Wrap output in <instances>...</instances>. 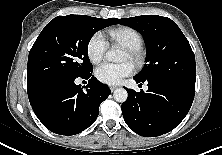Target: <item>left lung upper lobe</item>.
I'll return each instance as SVG.
<instances>
[{
  "instance_id": "1",
  "label": "left lung upper lobe",
  "mask_w": 222,
  "mask_h": 155,
  "mask_svg": "<svg viewBox=\"0 0 222 155\" xmlns=\"http://www.w3.org/2000/svg\"><path fill=\"white\" fill-rule=\"evenodd\" d=\"M117 23L137 30L146 42V64L136 78H177L195 84V56L174 21L158 15H142L117 19Z\"/></svg>"
}]
</instances>
